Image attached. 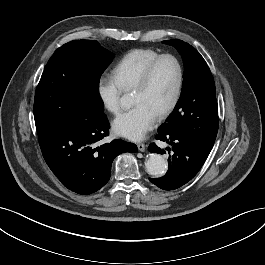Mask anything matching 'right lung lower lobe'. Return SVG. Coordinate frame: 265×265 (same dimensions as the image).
<instances>
[{"label": "right lung lower lobe", "instance_id": "98d812e1", "mask_svg": "<svg viewBox=\"0 0 265 265\" xmlns=\"http://www.w3.org/2000/svg\"><path fill=\"white\" fill-rule=\"evenodd\" d=\"M109 128L104 113L87 111L39 136L47 165L71 191L82 195L96 192L108 182L114 158L137 151L135 144L121 139L98 146Z\"/></svg>", "mask_w": 265, "mask_h": 265}]
</instances>
